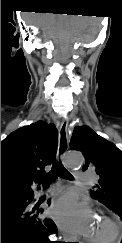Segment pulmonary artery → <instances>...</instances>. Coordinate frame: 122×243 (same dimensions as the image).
Wrapping results in <instances>:
<instances>
[{
	"label": "pulmonary artery",
	"instance_id": "obj_1",
	"mask_svg": "<svg viewBox=\"0 0 122 243\" xmlns=\"http://www.w3.org/2000/svg\"><path fill=\"white\" fill-rule=\"evenodd\" d=\"M78 181L81 183H85L89 180L92 179V173L91 172H82V171H77L76 172ZM58 191V188L51 189V192H56Z\"/></svg>",
	"mask_w": 122,
	"mask_h": 243
}]
</instances>
